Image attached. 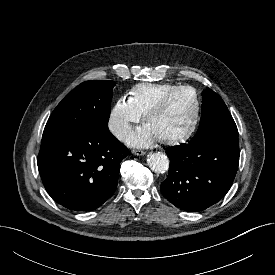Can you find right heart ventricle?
Returning <instances> with one entry per match:
<instances>
[{
    "label": "right heart ventricle",
    "mask_w": 275,
    "mask_h": 275,
    "mask_svg": "<svg viewBox=\"0 0 275 275\" xmlns=\"http://www.w3.org/2000/svg\"><path fill=\"white\" fill-rule=\"evenodd\" d=\"M175 87L177 85L170 83H141L131 89L129 100L133 107L144 116L165 93Z\"/></svg>",
    "instance_id": "1"
}]
</instances>
